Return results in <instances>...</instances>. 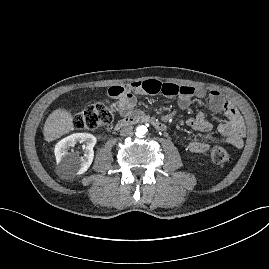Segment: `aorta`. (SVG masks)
Masks as SVG:
<instances>
[{"label":"aorta","mask_w":269,"mask_h":269,"mask_svg":"<svg viewBox=\"0 0 269 269\" xmlns=\"http://www.w3.org/2000/svg\"><path fill=\"white\" fill-rule=\"evenodd\" d=\"M147 131H148V129H147L146 126H144V125H140V126H138V127L136 128V135H137L138 137H143L144 135H146Z\"/></svg>","instance_id":"obj_1"}]
</instances>
